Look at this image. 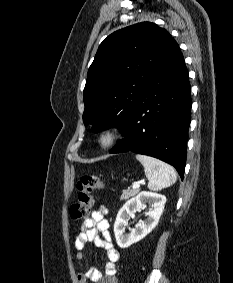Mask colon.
<instances>
[{"mask_svg": "<svg viewBox=\"0 0 233 283\" xmlns=\"http://www.w3.org/2000/svg\"><path fill=\"white\" fill-rule=\"evenodd\" d=\"M103 188V182L97 176L83 175L77 182V201L70 207V216L78 220L86 218L93 207V192Z\"/></svg>", "mask_w": 233, "mask_h": 283, "instance_id": "colon-1", "label": "colon"}]
</instances>
